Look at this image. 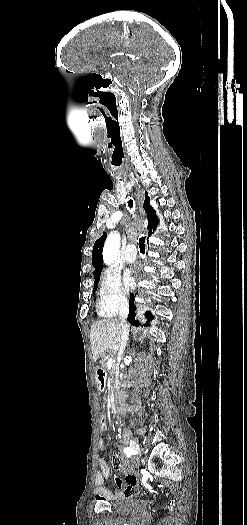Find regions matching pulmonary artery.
Masks as SVG:
<instances>
[{
  "label": "pulmonary artery",
  "mask_w": 247,
  "mask_h": 525,
  "mask_svg": "<svg viewBox=\"0 0 247 525\" xmlns=\"http://www.w3.org/2000/svg\"><path fill=\"white\" fill-rule=\"evenodd\" d=\"M134 254H135V251L133 249V245L132 244L128 245L126 247V249L124 250V255H125L124 260H125V262L128 263V264L133 263L134 260H135Z\"/></svg>",
  "instance_id": "obj_1"
}]
</instances>
